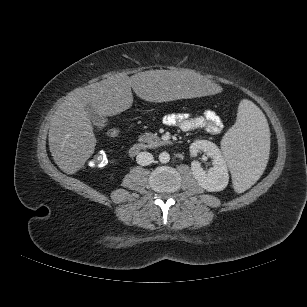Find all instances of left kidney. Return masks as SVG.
Listing matches in <instances>:
<instances>
[{"label": "left kidney", "mask_w": 307, "mask_h": 307, "mask_svg": "<svg viewBox=\"0 0 307 307\" xmlns=\"http://www.w3.org/2000/svg\"><path fill=\"white\" fill-rule=\"evenodd\" d=\"M204 152L212 159V167L205 171L200 162L191 163L192 173L199 185L209 192L221 191L226 188L229 174L226 161L216 144L207 140H196L190 145V153L196 156Z\"/></svg>", "instance_id": "left-kidney-1"}]
</instances>
